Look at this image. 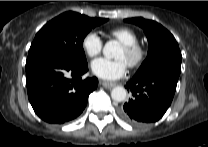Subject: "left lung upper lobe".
Segmentation results:
<instances>
[{"mask_svg": "<svg viewBox=\"0 0 208 147\" xmlns=\"http://www.w3.org/2000/svg\"><path fill=\"white\" fill-rule=\"evenodd\" d=\"M125 22L143 28L148 39V54L135 76L158 69H169L180 75L182 55L174 36L159 23L144 18H128Z\"/></svg>", "mask_w": 208, "mask_h": 147, "instance_id": "5c2ea615", "label": "left lung upper lobe"}]
</instances>
